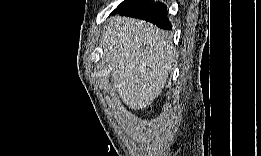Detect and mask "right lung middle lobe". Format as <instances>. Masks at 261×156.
Here are the masks:
<instances>
[{
  "instance_id": "1",
  "label": "right lung middle lobe",
  "mask_w": 261,
  "mask_h": 156,
  "mask_svg": "<svg viewBox=\"0 0 261 156\" xmlns=\"http://www.w3.org/2000/svg\"><path fill=\"white\" fill-rule=\"evenodd\" d=\"M133 0H125L124 2H122L118 8L112 13H117V12H120L122 11L123 9H125Z\"/></svg>"
}]
</instances>
